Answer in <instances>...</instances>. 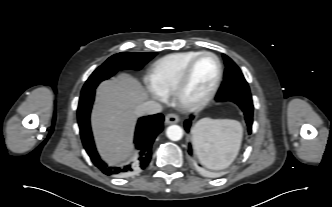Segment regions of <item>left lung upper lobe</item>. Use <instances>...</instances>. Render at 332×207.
I'll return each mask as SVG.
<instances>
[{
	"label": "left lung upper lobe",
	"mask_w": 332,
	"mask_h": 207,
	"mask_svg": "<svg viewBox=\"0 0 332 207\" xmlns=\"http://www.w3.org/2000/svg\"><path fill=\"white\" fill-rule=\"evenodd\" d=\"M226 69L224 81L217 93V97L240 95L251 97L250 89L239 67L223 54Z\"/></svg>",
	"instance_id": "obj_1"
}]
</instances>
